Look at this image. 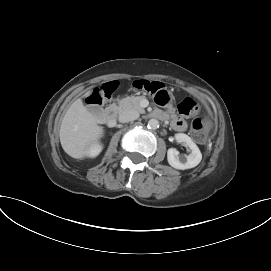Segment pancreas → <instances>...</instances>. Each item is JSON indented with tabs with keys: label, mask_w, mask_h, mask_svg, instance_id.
I'll return each mask as SVG.
<instances>
[{
	"label": "pancreas",
	"mask_w": 271,
	"mask_h": 271,
	"mask_svg": "<svg viewBox=\"0 0 271 271\" xmlns=\"http://www.w3.org/2000/svg\"><path fill=\"white\" fill-rule=\"evenodd\" d=\"M144 99V96H128L121 99L118 105H113L117 112L121 113L127 110H134L138 113H144L145 110L141 107L140 102Z\"/></svg>",
	"instance_id": "1"
}]
</instances>
